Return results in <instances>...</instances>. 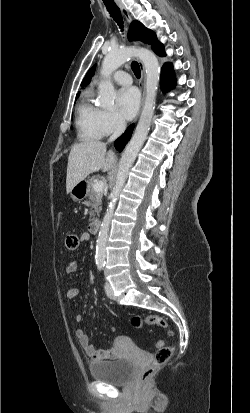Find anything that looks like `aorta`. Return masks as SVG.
I'll return each instance as SVG.
<instances>
[{"label": "aorta", "mask_w": 250, "mask_h": 413, "mask_svg": "<svg viewBox=\"0 0 250 413\" xmlns=\"http://www.w3.org/2000/svg\"><path fill=\"white\" fill-rule=\"evenodd\" d=\"M132 57H138L144 65L146 72V98L134 135L121 157L116 183L110 194V203L100 226L96 241L95 255L96 264L98 265H103L105 263L106 242L114 209L126 182L129 170L147 137L155 108V99L160 77V65L154 53L144 48H123L117 51H110L104 57L101 75L105 78V81L100 85L98 103L103 108H113L116 94L110 76L117 68Z\"/></svg>", "instance_id": "obj_1"}]
</instances>
